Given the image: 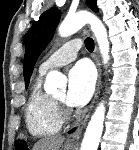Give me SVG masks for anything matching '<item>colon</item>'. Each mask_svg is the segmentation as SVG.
Here are the masks:
<instances>
[{
  "instance_id": "colon-1",
  "label": "colon",
  "mask_w": 139,
  "mask_h": 150,
  "mask_svg": "<svg viewBox=\"0 0 139 150\" xmlns=\"http://www.w3.org/2000/svg\"><path fill=\"white\" fill-rule=\"evenodd\" d=\"M15 148L16 150H28L25 142H17Z\"/></svg>"
}]
</instances>
